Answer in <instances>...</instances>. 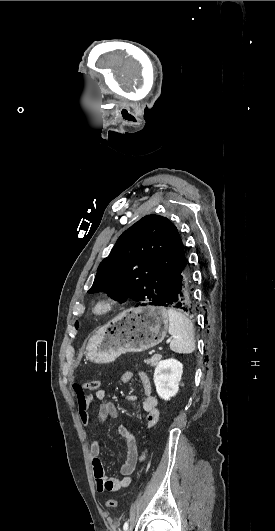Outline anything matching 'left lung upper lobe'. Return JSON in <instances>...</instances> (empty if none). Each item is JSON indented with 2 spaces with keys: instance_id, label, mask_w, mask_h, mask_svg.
Segmentation results:
<instances>
[{
  "instance_id": "5c2ea615",
  "label": "left lung upper lobe",
  "mask_w": 275,
  "mask_h": 531,
  "mask_svg": "<svg viewBox=\"0 0 275 531\" xmlns=\"http://www.w3.org/2000/svg\"><path fill=\"white\" fill-rule=\"evenodd\" d=\"M187 264L176 226L167 218L147 215L124 231L99 265L89 293L111 291L123 303L163 305Z\"/></svg>"
}]
</instances>
